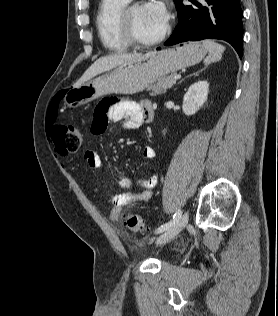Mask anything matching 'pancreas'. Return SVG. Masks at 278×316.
Listing matches in <instances>:
<instances>
[{"instance_id": "pancreas-1", "label": "pancreas", "mask_w": 278, "mask_h": 316, "mask_svg": "<svg viewBox=\"0 0 278 316\" xmlns=\"http://www.w3.org/2000/svg\"><path fill=\"white\" fill-rule=\"evenodd\" d=\"M176 83L175 74H172L168 77L158 79V82L155 85H151L147 88V91H151V96L160 95L166 93L168 89L173 87Z\"/></svg>"}]
</instances>
